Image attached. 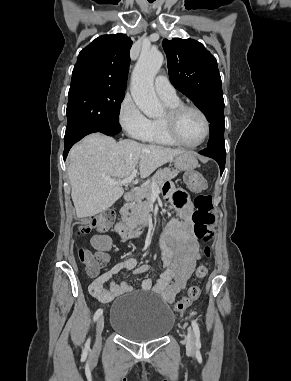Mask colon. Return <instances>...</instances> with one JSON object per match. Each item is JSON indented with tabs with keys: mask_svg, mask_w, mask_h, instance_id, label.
I'll list each match as a JSON object with an SVG mask.
<instances>
[{
	"mask_svg": "<svg viewBox=\"0 0 291 381\" xmlns=\"http://www.w3.org/2000/svg\"><path fill=\"white\" fill-rule=\"evenodd\" d=\"M185 182L192 191L198 193L194 201L195 211L192 215V221L194 224L195 236L206 243V246L201 250L203 261L196 269V276L198 278H204L208 273V263L206 259L210 256L208 243H210L214 235L212 226L215 221V216L212 212V198L210 195L203 193L206 189V181L199 173L187 174L185 176ZM177 202L182 204L184 199H178ZM113 222L114 213L106 210L91 216L86 221L82 222L77 228V234L79 236L86 235L91 231L103 233L111 227ZM78 253L80 260L85 265L86 271L90 276H96L108 263V256L103 252L92 253L85 248H80ZM200 292V287L191 286L188 289L187 294L175 303L174 310L179 313L184 312L195 300H197Z\"/></svg>",
	"mask_w": 291,
	"mask_h": 381,
	"instance_id": "5ec220e1",
	"label": "colon"
}]
</instances>
